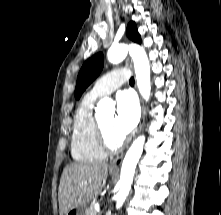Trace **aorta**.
<instances>
[{
	"label": "aorta",
	"mask_w": 221,
	"mask_h": 215,
	"mask_svg": "<svg viewBox=\"0 0 221 215\" xmlns=\"http://www.w3.org/2000/svg\"><path fill=\"white\" fill-rule=\"evenodd\" d=\"M131 56L138 89L142 97L148 101L151 93L150 82V63L143 47L137 44H116L112 45L108 52L107 58L110 63L117 64L125 59L127 54ZM114 103L108 98L101 99L97 105V109L101 110L108 106H113ZM145 143V136H139L131 145L121 167V174L119 180V192L116 195V208L119 209L131 189L136 165L142 155L143 147Z\"/></svg>",
	"instance_id": "aorta-1"
}]
</instances>
